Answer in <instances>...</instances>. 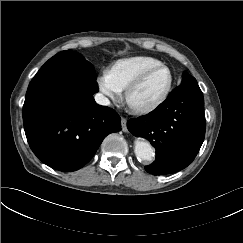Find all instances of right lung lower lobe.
I'll return each instance as SVG.
<instances>
[{
  "label": "right lung lower lobe",
  "instance_id": "98d812e1",
  "mask_svg": "<svg viewBox=\"0 0 243 243\" xmlns=\"http://www.w3.org/2000/svg\"><path fill=\"white\" fill-rule=\"evenodd\" d=\"M96 79L71 75H35L24 106L27 141L46 165L70 172L94 156L103 139L121 130L119 115L98 105Z\"/></svg>",
  "mask_w": 243,
  "mask_h": 243
}]
</instances>
